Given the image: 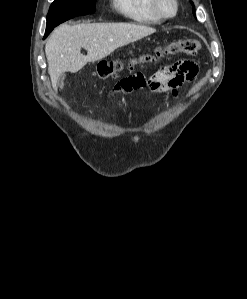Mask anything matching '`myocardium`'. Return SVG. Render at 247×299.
<instances>
[{"label":"myocardium","mask_w":247,"mask_h":299,"mask_svg":"<svg viewBox=\"0 0 247 299\" xmlns=\"http://www.w3.org/2000/svg\"><path fill=\"white\" fill-rule=\"evenodd\" d=\"M164 1H168L173 5V12L170 14H167L162 9V3ZM152 6L155 14L161 19V20H168L174 18L179 10V3L178 0H152Z\"/></svg>","instance_id":"myocardium-1"}]
</instances>
